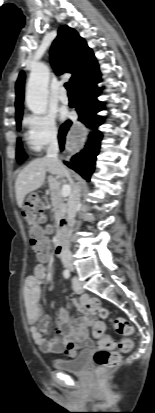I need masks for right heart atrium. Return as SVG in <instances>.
<instances>
[{
  "label": "right heart atrium",
  "instance_id": "obj_1",
  "mask_svg": "<svg viewBox=\"0 0 155 413\" xmlns=\"http://www.w3.org/2000/svg\"><path fill=\"white\" fill-rule=\"evenodd\" d=\"M28 144L36 153L42 152L58 138V128L52 114H30L24 119Z\"/></svg>",
  "mask_w": 155,
  "mask_h": 413
}]
</instances>
